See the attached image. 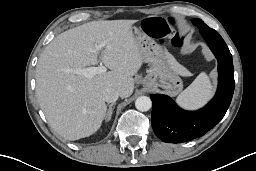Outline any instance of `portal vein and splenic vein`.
Here are the masks:
<instances>
[{
  "label": "portal vein and splenic vein",
  "instance_id": "18ae733b",
  "mask_svg": "<svg viewBox=\"0 0 256 171\" xmlns=\"http://www.w3.org/2000/svg\"><path fill=\"white\" fill-rule=\"evenodd\" d=\"M105 44H100L96 46V51L101 50ZM107 71V68L103 65H100L98 67H88V68H78L74 69L73 72L77 75H83L87 78H92L94 75L102 74Z\"/></svg>",
  "mask_w": 256,
  "mask_h": 171
}]
</instances>
